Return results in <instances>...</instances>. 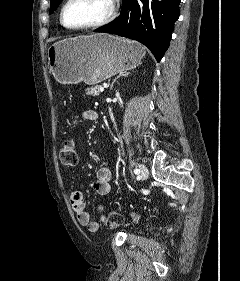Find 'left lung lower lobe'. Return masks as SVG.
Segmentation results:
<instances>
[{
	"label": "left lung lower lobe",
	"mask_w": 240,
	"mask_h": 281,
	"mask_svg": "<svg viewBox=\"0 0 240 281\" xmlns=\"http://www.w3.org/2000/svg\"><path fill=\"white\" fill-rule=\"evenodd\" d=\"M181 0H122L121 14L94 32L137 40L160 62L169 47Z\"/></svg>",
	"instance_id": "1"
}]
</instances>
